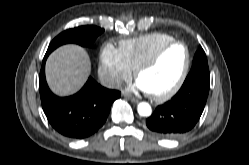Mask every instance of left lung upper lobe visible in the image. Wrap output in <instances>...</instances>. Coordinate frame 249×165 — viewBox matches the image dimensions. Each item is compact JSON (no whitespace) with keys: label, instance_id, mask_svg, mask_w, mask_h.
<instances>
[{"label":"left lung upper lobe","instance_id":"left-lung-upper-lobe-1","mask_svg":"<svg viewBox=\"0 0 249 165\" xmlns=\"http://www.w3.org/2000/svg\"><path fill=\"white\" fill-rule=\"evenodd\" d=\"M195 73L209 74L208 62L204 50L200 49L195 53L192 68L188 75Z\"/></svg>","mask_w":249,"mask_h":165}]
</instances>
